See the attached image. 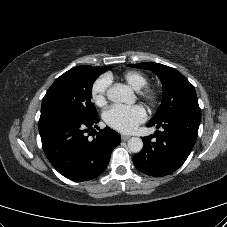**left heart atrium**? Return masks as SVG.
I'll use <instances>...</instances> for the list:
<instances>
[{"instance_id":"obj_1","label":"left heart atrium","mask_w":227,"mask_h":227,"mask_svg":"<svg viewBox=\"0 0 227 227\" xmlns=\"http://www.w3.org/2000/svg\"><path fill=\"white\" fill-rule=\"evenodd\" d=\"M147 118L141 106L113 105L103 113L105 123L111 128L122 132L131 133Z\"/></svg>"}]
</instances>
